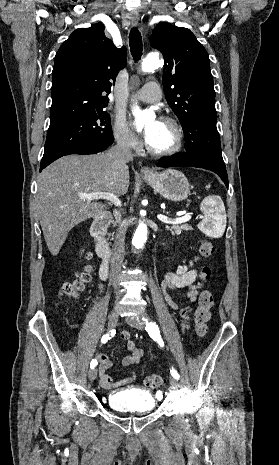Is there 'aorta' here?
Here are the masks:
<instances>
[{
  "mask_svg": "<svg viewBox=\"0 0 279 465\" xmlns=\"http://www.w3.org/2000/svg\"><path fill=\"white\" fill-rule=\"evenodd\" d=\"M159 57L157 54L148 55L142 63L143 72H151L159 64ZM133 114L136 118L137 127L141 129L149 117L147 112L141 111L139 107H134ZM147 240V226L144 223H140L134 233L132 239V245L135 248H141Z\"/></svg>",
  "mask_w": 279,
  "mask_h": 465,
  "instance_id": "obj_1",
  "label": "aorta"
}]
</instances>
